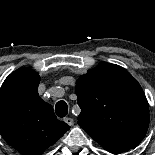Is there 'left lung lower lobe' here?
<instances>
[{
    "label": "left lung lower lobe",
    "mask_w": 155,
    "mask_h": 155,
    "mask_svg": "<svg viewBox=\"0 0 155 155\" xmlns=\"http://www.w3.org/2000/svg\"><path fill=\"white\" fill-rule=\"evenodd\" d=\"M137 145L138 144L135 142L127 143V144H122V145H118V146H114V147H109V148H106V150L113 154H120L124 151L131 149V148H135Z\"/></svg>",
    "instance_id": "left-lung-lower-lobe-1"
}]
</instances>
